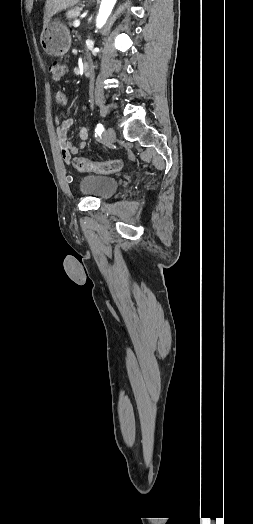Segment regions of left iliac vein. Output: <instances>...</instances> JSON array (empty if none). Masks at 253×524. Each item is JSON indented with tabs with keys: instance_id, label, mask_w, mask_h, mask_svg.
Returning a JSON list of instances; mask_svg holds the SVG:
<instances>
[{
	"instance_id": "4c4485c4",
	"label": "left iliac vein",
	"mask_w": 253,
	"mask_h": 524,
	"mask_svg": "<svg viewBox=\"0 0 253 524\" xmlns=\"http://www.w3.org/2000/svg\"><path fill=\"white\" fill-rule=\"evenodd\" d=\"M103 138L107 144H112L116 139L115 130L112 127H108L103 134Z\"/></svg>"
}]
</instances>
